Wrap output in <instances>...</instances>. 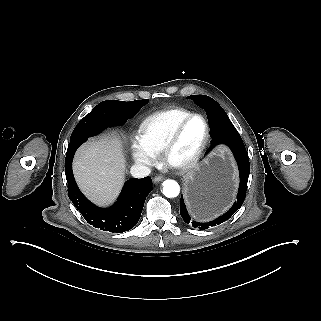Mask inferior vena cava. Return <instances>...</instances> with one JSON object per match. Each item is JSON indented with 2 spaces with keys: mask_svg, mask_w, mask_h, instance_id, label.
<instances>
[{
  "mask_svg": "<svg viewBox=\"0 0 321 321\" xmlns=\"http://www.w3.org/2000/svg\"><path fill=\"white\" fill-rule=\"evenodd\" d=\"M130 173L133 177L143 178V177L150 175L151 170L149 167H147L143 164L137 163V164L132 165V167L130 169Z\"/></svg>",
  "mask_w": 321,
  "mask_h": 321,
  "instance_id": "1",
  "label": "inferior vena cava"
}]
</instances>
